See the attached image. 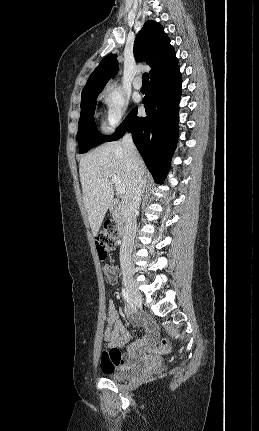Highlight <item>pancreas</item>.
I'll list each match as a JSON object with an SVG mask.
<instances>
[{
	"label": "pancreas",
	"mask_w": 259,
	"mask_h": 431,
	"mask_svg": "<svg viewBox=\"0 0 259 431\" xmlns=\"http://www.w3.org/2000/svg\"><path fill=\"white\" fill-rule=\"evenodd\" d=\"M113 218H114V220L119 224V221H120V216H119V214H117V213H113Z\"/></svg>",
	"instance_id": "cf45deb5"
}]
</instances>
